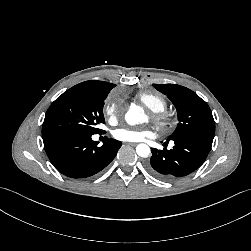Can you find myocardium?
Here are the masks:
<instances>
[{
	"label": "myocardium",
	"instance_id": "obj_1",
	"mask_svg": "<svg viewBox=\"0 0 251 251\" xmlns=\"http://www.w3.org/2000/svg\"><path fill=\"white\" fill-rule=\"evenodd\" d=\"M153 120L163 130H167L173 125V119L166 113H155Z\"/></svg>",
	"mask_w": 251,
	"mask_h": 251
}]
</instances>
